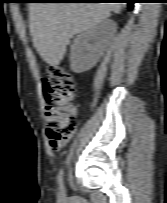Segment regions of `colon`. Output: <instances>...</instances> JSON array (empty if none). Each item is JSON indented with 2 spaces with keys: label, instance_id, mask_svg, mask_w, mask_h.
I'll return each instance as SVG.
<instances>
[{
  "label": "colon",
  "instance_id": "obj_1",
  "mask_svg": "<svg viewBox=\"0 0 167 203\" xmlns=\"http://www.w3.org/2000/svg\"><path fill=\"white\" fill-rule=\"evenodd\" d=\"M46 102L47 136L51 146L71 136L77 127V112L70 105L76 94V83L61 65H50L42 78Z\"/></svg>",
  "mask_w": 167,
  "mask_h": 203
}]
</instances>
